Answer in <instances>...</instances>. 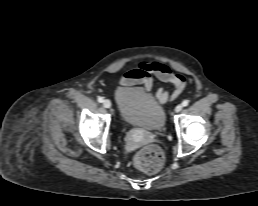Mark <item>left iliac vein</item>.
Listing matches in <instances>:
<instances>
[{
	"label": "left iliac vein",
	"instance_id": "left-iliac-vein-1",
	"mask_svg": "<svg viewBox=\"0 0 258 206\" xmlns=\"http://www.w3.org/2000/svg\"><path fill=\"white\" fill-rule=\"evenodd\" d=\"M182 108H183V106L181 104L177 105L175 107V112H177V113L180 112L182 110Z\"/></svg>",
	"mask_w": 258,
	"mask_h": 206
}]
</instances>
